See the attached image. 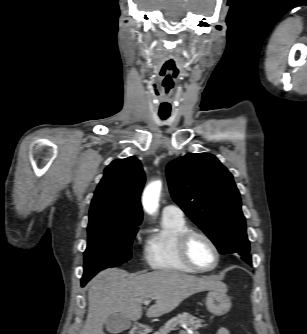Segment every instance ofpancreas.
<instances>
[{"label": "pancreas", "instance_id": "pancreas-1", "mask_svg": "<svg viewBox=\"0 0 307 334\" xmlns=\"http://www.w3.org/2000/svg\"><path fill=\"white\" fill-rule=\"evenodd\" d=\"M202 322L203 320L198 319L189 313H182L170 319L163 327L153 334H168L171 331L177 330L178 327L182 325H186L192 330H197L205 326Z\"/></svg>", "mask_w": 307, "mask_h": 334}]
</instances>
